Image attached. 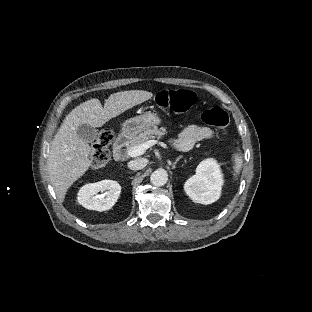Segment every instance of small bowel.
Segmentation results:
<instances>
[{
	"mask_svg": "<svg viewBox=\"0 0 312 312\" xmlns=\"http://www.w3.org/2000/svg\"><path fill=\"white\" fill-rule=\"evenodd\" d=\"M214 131L201 124H192L183 129L176 138L173 145L181 151L191 150L198 142L212 138Z\"/></svg>",
	"mask_w": 312,
	"mask_h": 312,
	"instance_id": "obj_1",
	"label": "small bowel"
}]
</instances>
